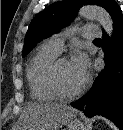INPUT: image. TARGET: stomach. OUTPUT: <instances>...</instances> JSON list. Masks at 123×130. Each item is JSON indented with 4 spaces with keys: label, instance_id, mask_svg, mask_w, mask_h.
I'll return each mask as SVG.
<instances>
[{
    "label": "stomach",
    "instance_id": "stomach-1",
    "mask_svg": "<svg viewBox=\"0 0 123 130\" xmlns=\"http://www.w3.org/2000/svg\"><path fill=\"white\" fill-rule=\"evenodd\" d=\"M68 130H85V126L80 120L75 119L69 122Z\"/></svg>",
    "mask_w": 123,
    "mask_h": 130
}]
</instances>
